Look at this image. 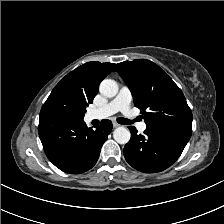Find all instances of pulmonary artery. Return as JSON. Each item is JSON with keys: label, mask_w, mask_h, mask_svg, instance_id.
Listing matches in <instances>:
<instances>
[{"label": "pulmonary artery", "mask_w": 224, "mask_h": 224, "mask_svg": "<svg viewBox=\"0 0 224 224\" xmlns=\"http://www.w3.org/2000/svg\"><path fill=\"white\" fill-rule=\"evenodd\" d=\"M132 101V95L128 87L122 86L116 95L106 105L94 109L89 113L91 119H104L117 112H121L126 116L130 115V103ZM139 131L143 132L146 130L147 125L145 122H141L137 125Z\"/></svg>", "instance_id": "obj_1"}]
</instances>
